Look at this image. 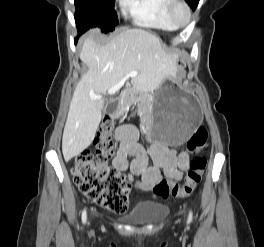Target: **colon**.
I'll list each match as a JSON object with an SVG mask.
<instances>
[{
  "mask_svg": "<svg viewBox=\"0 0 264 247\" xmlns=\"http://www.w3.org/2000/svg\"><path fill=\"white\" fill-rule=\"evenodd\" d=\"M208 139L205 127H199L190 137L187 150L194 154L189 170L182 184L161 180L154 188L156 196L162 198L187 197L201 181L207 165L202 155ZM95 153L85 150L79 153L73 162L72 175L79 191L95 204L115 213H124L128 209V185L125 176L109 166L114 152L113 124L105 120L98 128L94 140Z\"/></svg>",
  "mask_w": 264,
  "mask_h": 247,
  "instance_id": "colon-1",
  "label": "colon"
}]
</instances>
